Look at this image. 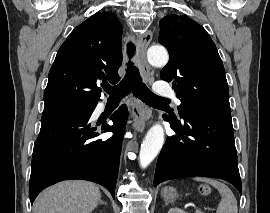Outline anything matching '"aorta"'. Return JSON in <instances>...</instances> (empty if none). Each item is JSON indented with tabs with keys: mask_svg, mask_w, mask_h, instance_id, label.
I'll use <instances>...</instances> for the list:
<instances>
[{
	"mask_svg": "<svg viewBox=\"0 0 270 213\" xmlns=\"http://www.w3.org/2000/svg\"><path fill=\"white\" fill-rule=\"evenodd\" d=\"M147 58L151 65L163 67L169 60L168 52L162 46L148 49ZM164 144V129L160 124L153 125L147 132L139 153V163L146 168L157 156Z\"/></svg>",
	"mask_w": 270,
	"mask_h": 213,
	"instance_id": "762f6f07",
	"label": "aorta"
}]
</instances>
